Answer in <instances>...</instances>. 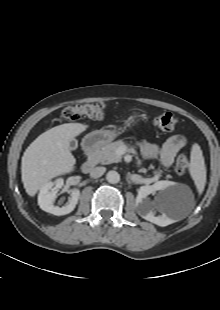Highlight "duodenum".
Here are the masks:
<instances>
[{
	"label": "duodenum",
	"instance_id": "duodenum-1",
	"mask_svg": "<svg viewBox=\"0 0 220 310\" xmlns=\"http://www.w3.org/2000/svg\"><path fill=\"white\" fill-rule=\"evenodd\" d=\"M86 160L81 165L83 173H90L97 163V147L93 143H85Z\"/></svg>",
	"mask_w": 220,
	"mask_h": 310
}]
</instances>
